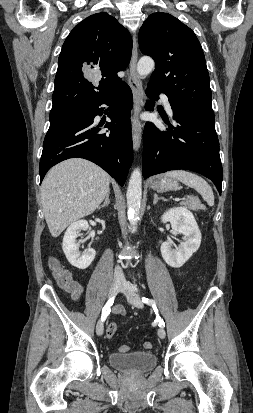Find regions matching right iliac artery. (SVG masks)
Listing matches in <instances>:
<instances>
[{"label":"right iliac artery","mask_w":253,"mask_h":413,"mask_svg":"<svg viewBox=\"0 0 253 413\" xmlns=\"http://www.w3.org/2000/svg\"><path fill=\"white\" fill-rule=\"evenodd\" d=\"M113 301H114V298L112 297L107 301L106 305L103 307L102 315H101V321L102 322L105 321L106 317L110 313V307L113 304Z\"/></svg>","instance_id":"82829eb1"}]
</instances>
